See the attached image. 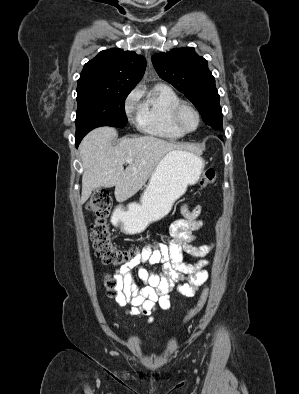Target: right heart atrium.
Returning <instances> with one entry per match:
<instances>
[{"instance_id": "d8ad5b80", "label": "right heart atrium", "mask_w": 299, "mask_h": 394, "mask_svg": "<svg viewBox=\"0 0 299 394\" xmlns=\"http://www.w3.org/2000/svg\"><path fill=\"white\" fill-rule=\"evenodd\" d=\"M142 96V90L140 87L135 88L128 96L126 100V111L131 116L135 111L139 109V100Z\"/></svg>"}]
</instances>
